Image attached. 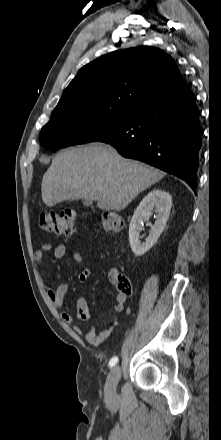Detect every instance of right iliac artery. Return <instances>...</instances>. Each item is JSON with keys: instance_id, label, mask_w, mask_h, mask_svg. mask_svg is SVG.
Segmentation results:
<instances>
[{"instance_id": "1", "label": "right iliac artery", "mask_w": 221, "mask_h": 440, "mask_svg": "<svg viewBox=\"0 0 221 440\" xmlns=\"http://www.w3.org/2000/svg\"><path fill=\"white\" fill-rule=\"evenodd\" d=\"M118 362V358L117 357H113L110 362H109V366L113 367L114 365H116V363Z\"/></svg>"}]
</instances>
